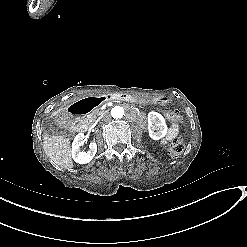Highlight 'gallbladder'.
<instances>
[{
  "label": "gallbladder",
  "instance_id": "gallbladder-1",
  "mask_svg": "<svg viewBox=\"0 0 247 247\" xmlns=\"http://www.w3.org/2000/svg\"><path fill=\"white\" fill-rule=\"evenodd\" d=\"M41 127L43 130L48 131L49 134L54 135L58 133L59 135H63L68 137L70 132L65 128H61L59 121L56 119L48 118L42 122Z\"/></svg>",
  "mask_w": 247,
  "mask_h": 247
}]
</instances>
